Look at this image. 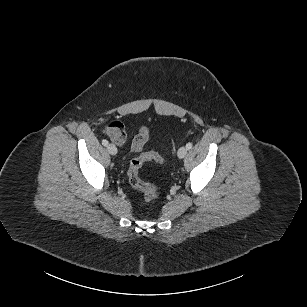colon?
Wrapping results in <instances>:
<instances>
[{
    "mask_svg": "<svg viewBox=\"0 0 307 307\" xmlns=\"http://www.w3.org/2000/svg\"><path fill=\"white\" fill-rule=\"evenodd\" d=\"M149 160L162 163L166 160V156L159 155L155 152L142 154L130 162L127 172L130 185L142 192L144 202L152 201L158 196L157 187L149 182L143 181L139 177V169L145 161Z\"/></svg>",
    "mask_w": 307,
    "mask_h": 307,
    "instance_id": "5ec220e1",
    "label": "colon"
}]
</instances>
